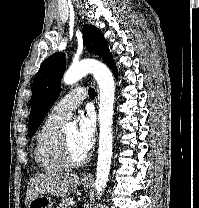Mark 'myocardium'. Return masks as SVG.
Masks as SVG:
<instances>
[{
    "instance_id": "1",
    "label": "myocardium",
    "mask_w": 199,
    "mask_h": 208,
    "mask_svg": "<svg viewBox=\"0 0 199 208\" xmlns=\"http://www.w3.org/2000/svg\"><path fill=\"white\" fill-rule=\"evenodd\" d=\"M60 152H61V158L64 164L67 167H71V168L83 166L89 159L88 154H86L81 159H75L70 152L68 142L64 135L62 136L61 142H60Z\"/></svg>"
}]
</instances>
